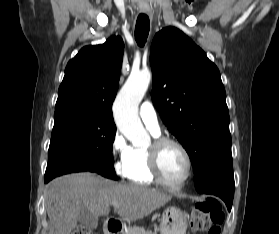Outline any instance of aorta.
Here are the masks:
<instances>
[{"label":"aorta","instance_id":"762f6f07","mask_svg":"<svg viewBox=\"0 0 279 234\" xmlns=\"http://www.w3.org/2000/svg\"><path fill=\"white\" fill-rule=\"evenodd\" d=\"M150 80L151 72L148 70L131 73L118 93L113 108L118 129L137 147H144L150 141L138 116V106L148 89Z\"/></svg>","mask_w":279,"mask_h":234}]
</instances>
